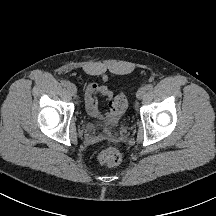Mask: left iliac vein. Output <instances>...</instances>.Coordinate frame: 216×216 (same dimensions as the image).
<instances>
[{
    "mask_svg": "<svg viewBox=\"0 0 216 216\" xmlns=\"http://www.w3.org/2000/svg\"><path fill=\"white\" fill-rule=\"evenodd\" d=\"M146 92H147L146 87L139 88L138 91H137V94H136L137 98L142 99L145 96Z\"/></svg>",
    "mask_w": 216,
    "mask_h": 216,
    "instance_id": "1",
    "label": "left iliac vein"
}]
</instances>
